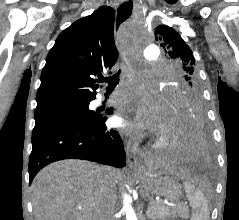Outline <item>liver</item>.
<instances>
[{
  "label": "liver",
  "instance_id": "liver-1",
  "mask_svg": "<svg viewBox=\"0 0 239 220\" xmlns=\"http://www.w3.org/2000/svg\"><path fill=\"white\" fill-rule=\"evenodd\" d=\"M107 167L66 159L42 169L31 185L35 220H98L104 211L103 183ZM114 182L121 178L111 169ZM180 179L186 171L177 172ZM115 192L112 213L115 208Z\"/></svg>",
  "mask_w": 239,
  "mask_h": 220
}]
</instances>
